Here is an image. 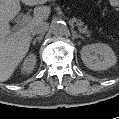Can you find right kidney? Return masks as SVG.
<instances>
[{
	"instance_id": "ca27d5eb",
	"label": "right kidney",
	"mask_w": 119,
	"mask_h": 119,
	"mask_svg": "<svg viewBox=\"0 0 119 119\" xmlns=\"http://www.w3.org/2000/svg\"><path fill=\"white\" fill-rule=\"evenodd\" d=\"M36 64V56L34 54H29L22 65V72L23 73H31L34 69Z\"/></svg>"
}]
</instances>
